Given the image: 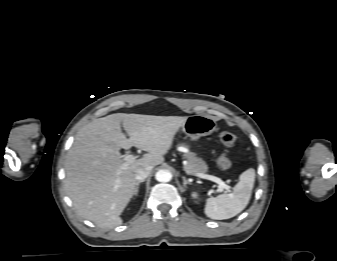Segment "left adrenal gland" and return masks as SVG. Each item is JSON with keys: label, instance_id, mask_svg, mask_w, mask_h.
Returning a JSON list of instances; mask_svg holds the SVG:
<instances>
[{"label": "left adrenal gland", "instance_id": "1", "mask_svg": "<svg viewBox=\"0 0 337 261\" xmlns=\"http://www.w3.org/2000/svg\"><path fill=\"white\" fill-rule=\"evenodd\" d=\"M182 179H183V186H184V191L186 190L187 188V185H191V183L186 179L185 176H182Z\"/></svg>", "mask_w": 337, "mask_h": 261}]
</instances>
